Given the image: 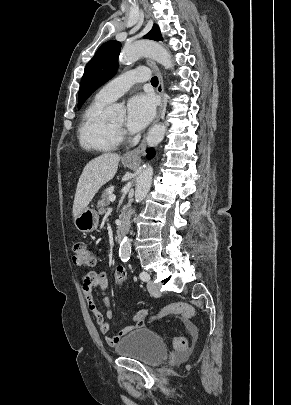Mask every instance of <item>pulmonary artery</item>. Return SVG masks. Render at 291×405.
<instances>
[{
  "mask_svg": "<svg viewBox=\"0 0 291 405\" xmlns=\"http://www.w3.org/2000/svg\"><path fill=\"white\" fill-rule=\"evenodd\" d=\"M150 71L147 68H138L122 73L106 85L96 94V97L104 101H114L123 95L130 87L138 82L150 79Z\"/></svg>",
  "mask_w": 291,
  "mask_h": 405,
  "instance_id": "e3ab8cb5",
  "label": "pulmonary artery"
}]
</instances>
